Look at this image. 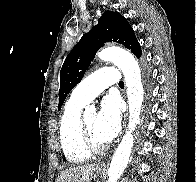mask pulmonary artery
<instances>
[{"mask_svg": "<svg viewBox=\"0 0 196 182\" xmlns=\"http://www.w3.org/2000/svg\"><path fill=\"white\" fill-rule=\"evenodd\" d=\"M119 73L114 67H102L91 76L79 83L72 92L78 101L89 103L108 86L119 82Z\"/></svg>", "mask_w": 196, "mask_h": 182, "instance_id": "1", "label": "pulmonary artery"}]
</instances>
